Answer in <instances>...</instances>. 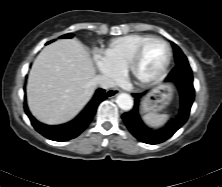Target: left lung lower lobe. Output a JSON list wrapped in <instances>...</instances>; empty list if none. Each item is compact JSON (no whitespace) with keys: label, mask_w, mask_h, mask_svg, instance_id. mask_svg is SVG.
Wrapping results in <instances>:
<instances>
[{"label":"left lung lower lobe","mask_w":222,"mask_h":187,"mask_svg":"<svg viewBox=\"0 0 222 187\" xmlns=\"http://www.w3.org/2000/svg\"><path fill=\"white\" fill-rule=\"evenodd\" d=\"M166 82L175 83L180 99V106L175 118L163 129L148 128L140 118L139 106L144 94H133L134 107L122 115V119L131 134L139 141L147 144H158L169 139L187 121L194 101L192 70L189 64H177L167 76Z\"/></svg>","instance_id":"1"}]
</instances>
